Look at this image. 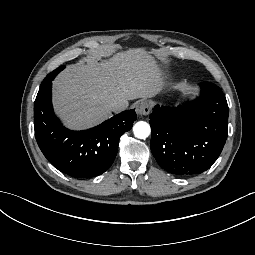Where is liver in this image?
I'll list each match as a JSON object with an SVG mask.
<instances>
[{
  "mask_svg": "<svg viewBox=\"0 0 255 255\" xmlns=\"http://www.w3.org/2000/svg\"><path fill=\"white\" fill-rule=\"evenodd\" d=\"M158 69L142 49L119 53L110 61L85 59L69 66L55 81V105L70 127L83 128L111 115L112 101L158 94Z\"/></svg>",
  "mask_w": 255,
  "mask_h": 255,
  "instance_id": "liver-1",
  "label": "liver"
}]
</instances>
